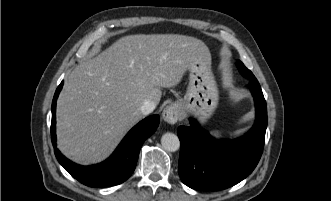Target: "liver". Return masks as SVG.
I'll return each instance as SVG.
<instances>
[{
	"label": "liver",
	"mask_w": 331,
	"mask_h": 201,
	"mask_svg": "<svg viewBox=\"0 0 331 201\" xmlns=\"http://www.w3.org/2000/svg\"><path fill=\"white\" fill-rule=\"evenodd\" d=\"M201 40L178 34L129 35L68 75L56 110L57 143L72 161L104 160L140 121L145 100L177 85L189 63L208 52Z\"/></svg>",
	"instance_id": "6515ba94"
}]
</instances>
